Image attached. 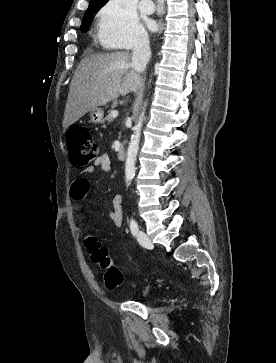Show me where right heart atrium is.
Returning <instances> with one entry per match:
<instances>
[{
    "label": "right heart atrium",
    "instance_id": "obj_1",
    "mask_svg": "<svg viewBox=\"0 0 276 363\" xmlns=\"http://www.w3.org/2000/svg\"><path fill=\"white\" fill-rule=\"evenodd\" d=\"M98 36L105 45L132 48L146 42L138 15L126 0H109L98 14Z\"/></svg>",
    "mask_w": 276,
    "mask_h": 363
}]
</instances>
